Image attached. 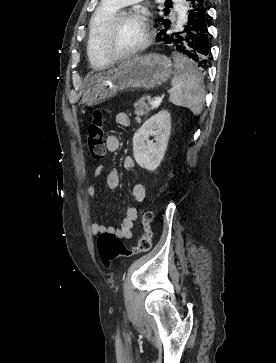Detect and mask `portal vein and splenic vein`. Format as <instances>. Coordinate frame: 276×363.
<instances>
[{
    "mask_svg": "<svg viewBox=\"0 0 276 363\" xmlns=\"http://www.w3.org/2000/svg\"><path fill=\"white\" fill-rule=\"evenodd\" d=\"M161 103V100L160 99H155L153 101L150 102V105L153 106V107H158Z\"/></svg>",
    "mask_w": 276,
    "mask_h": 363,
    "instance_id": "1",
    "label": "portal vein and splenic vein"
}]
</instances>
